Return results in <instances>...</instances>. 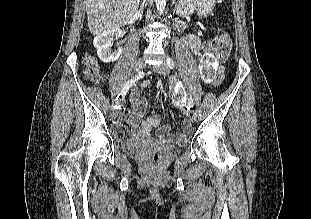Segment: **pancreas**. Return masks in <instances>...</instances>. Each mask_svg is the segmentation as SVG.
I'll return each mask as SVG.
<instances>
[{
    "mask_svg": "<svg viewBox=\"0 0 311 219\" xmlns=\"http://www.w3.org/2000/svg\"><path fill=\"white\" fill-rule=\"evenodd\" d=\"M197 0H184L183 5L186 6V9L193 10L196 7Z\"/></svg>",
    "mask_w": 311,
    "mask_h": 219,
    "instance_id": "obj_1",
    "label": "pancreas"
}]
</instances>
